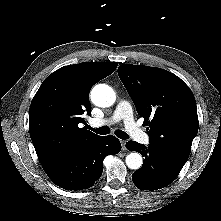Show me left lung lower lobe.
Instances as JSON below:
<instances>
[{
  "instance_id": "1",
  "label": "left lung lower lobe",
  "mask_w": 221,
  "mask_h": 221,
  "mask_svg": "<svg viewBox=\"0 0 221 221\" xmlns=\"http://www.w3.org/2000/svg\"><path fill=\"white\" fill-rule=\"evenodd\" d=\"M126 148L137 151L145 157L142 167L132 174L134 184L141 190H157L169 185L184 166L183 163L150 144L145 147L135 141H128Z\"/></svg>"
}]
</instances>
